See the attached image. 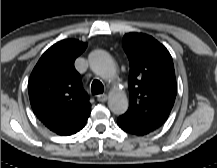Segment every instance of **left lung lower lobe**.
Returning <instances> with one entry per match:
<instances>
[{
  "label": "left lung lower lobe",
  "mask_w": 217,
  "mask_h": 168,
  "mask_svg": "<svg viewBox=\"0 0 217 168\" xmlns=\"http://www.w3.org/2000/svg\"><path fill=\"white\" fill-rule=\"evenodd\" d=\"M117 124L122 130L137 136H143L156 130L134 124L122 116L117 119Z\"/></svg>",
  "instance_id": "1"
}]
</instances>
